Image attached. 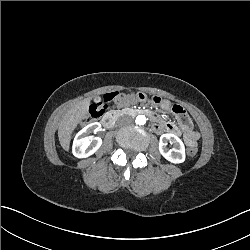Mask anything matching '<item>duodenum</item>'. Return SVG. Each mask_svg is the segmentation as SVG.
<instances>
[{"label":"duodenum","instance_id":"duodenum-1","mask_svg":"<svg viewBox=\"0 0 250 250\" xmlns=\"http://www.w3.org/2000/svg\"><path fill=\"white\" fill-rule=\"evenodd\" d=\"M128 113L132 116H137V115H149V113L144 110L143 108H136L128 111ZM121 114V112L117 111H111L109 112L102 120V125L106 129H111L113 128L116 118Z\"/></svg>","mask_w":250,"mask_h":250}]
</instances>
